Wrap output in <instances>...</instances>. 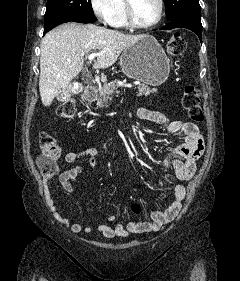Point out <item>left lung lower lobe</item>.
Listing matches in <instances>:
<instances>
[{
  "label": "left lung lower lobe",
  "instance_id": "1",
  "mask_svg": "<svg viewBox=\"0 0 240 281\" xmlns=\"http://www.w3.org/2000/svg\"><path fill=\"white\" fill-rule=\"evenodd\" d=\"M187 28L191 31H193L200 39L202 35V24H201V19L200 16H195V15H184L175 18L174 20L170 21L166 26L162 27V30H170L173 28Z\"/></svg>",
  "mask_w": 240,
  "mask_h": 281
}]
</instances>
